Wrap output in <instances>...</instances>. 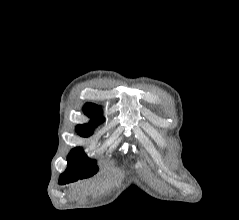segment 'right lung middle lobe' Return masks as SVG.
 <instances>
[{
    "instance_id": "obj_1",
    "label": "right lung middle lobe",
    "mask_w": 239,
    "mask_h": 220,
    "mask_svg": "<svg viewBox=\"0 0 239 220\" xmlns=\"http://www.w3.org/2000/svg\"><path fill=\"white\" fill-rule=\"evenodd\" d=\"M76 131L83 137L90 136L92 130L78 128ZM68 167L60 175L59 184H66L78 179H84L93 176L98 171L97 163L87 157L82 148L73 149L68 155Z\"/></svg>"
}]
</instances>
